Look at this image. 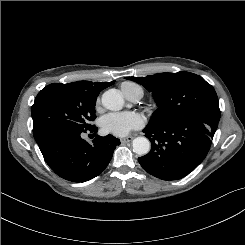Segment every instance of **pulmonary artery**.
<instances>
[{"label":"pulmonary artery","instance_id":"1","mask_svg":"<svg viewBox=\"0 0 245 245\" xmlns=\"http://www.w3.org/2000/svg\"><path fill=\"white\" fill-rule=\"evenodd\" d=\"M143 93L141 91H137L134 92L133 94H131L128 99L133 101V102H137L141 97H142Z\"/></svg>","mask_w":245,"mask_h":245}]
</instances>
